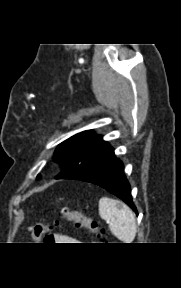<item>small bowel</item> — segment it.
I'll use <instances>...</instances> for the list:
<instances>
[{
    "label": "small bowel",
    "instance_id": "c3829d8e",
    "mask_svg": "<svg viewBox=\"0 0 181 288\" xmlns=\"http://www.w3.org/2000/svg\"><path fill=\"white\" fill-rule=\"evenodd\" d=\"M52 242L64 244V243H80L76 238H73L64 234H54L51 237Z\"/></svg>",
    "mask_w": 181,
    "mask_h": 288
}]
</instances>
